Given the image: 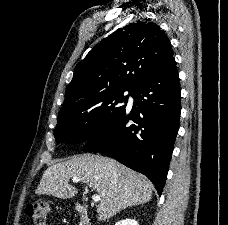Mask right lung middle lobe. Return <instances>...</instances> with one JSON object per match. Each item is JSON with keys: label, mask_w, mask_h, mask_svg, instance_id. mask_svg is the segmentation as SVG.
I'll use <instances>...</instances> for the list:
<instances>
[{"label": "right lung middle lobe", "mask_w": 228, "mask_h": 225, "mask_svg": "<svg viewBox=\"0 0 228 225\" xmlns=\"http://www.w3.org/2000/svg\"><path fill=\"white\" fill-rule=\"evenodd\" d=\"M133 89L110 87L63 105L55 128L57 142L81 143L111 122L126 106Z\"/></svg>", "instance_id": "1"}]
</instances>
